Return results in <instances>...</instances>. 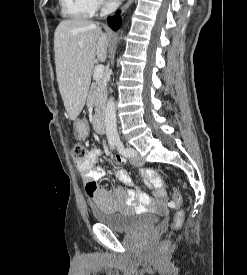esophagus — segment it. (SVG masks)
<instances>
[{
    "label": "esophagus",
    "instance_id": "obj_1",
    "mask_svg": "<svg viewBox=\"0 0 247 275\" xmlns=\"http://www.w3.org/2000/svg\"><path fill=\"white\" fill-rule=\"evenodd\" d=\"M134 0H128L122 8V12L126 11Z\"/></svg>",
    "mask_w": 247,
    "mask_h": 275
}]
</instances>
